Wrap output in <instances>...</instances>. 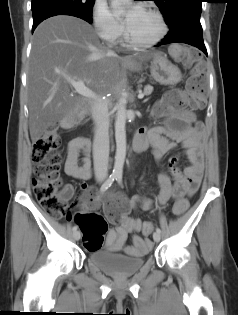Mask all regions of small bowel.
<instances>
[{
    "mask_svg": "<svg viewBox=\"0 0 238 315\" xmlns=\"http://www.w3.org/2000/svg\"><path fill=\"white\" fill-rule=\"evenodd\" d=\"M205 130L199 122H193L189 127L182 130H169L162 126L141 128L136 133L134 140L138 144L139 152L151 149L155 158L160 162L166 154L175 148L174 142H182L190 165L180 172L179 158L174 156L169 164L168 170L173 177V183L169 175L162 171L158 175V195L154 201L134 196L128 200L131 209L149 210L154 206L164 205L171 199L192 195L199 186L203 174V139ZM83 157L80 160V154ZM67 175L87 181L91 177V159L89 155V141L84 138L74 139L68 145L65 162ZM74 194L72 185H65L59 192V196L65 200L71 199ZM85 199L84 210H94L99 204L87 205ZM74 216H69L68 219ZM145 222L139 218L124 219L118 226L112 228L107 234L106 246L110 251L120 250L127 238L128 233L139 232ZM152 247L149 238H142L136 234L132 236V245L125 248L128 255L139 256L148 252Z\"/></svg>",
    "mask_w": 238,
    "mask_h": 315,
    "instance_id": "1",
    "label": "small bowel"
}]
</instances>
